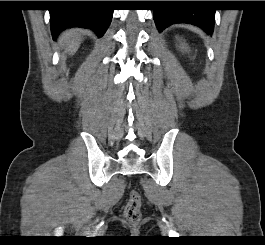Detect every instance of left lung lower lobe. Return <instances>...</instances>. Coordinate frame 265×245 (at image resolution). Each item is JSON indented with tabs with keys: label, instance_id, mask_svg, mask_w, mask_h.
<instances>
[{
	"label": "left lung lower lobe",
	"instance_id": "left-lung-lower-lobe-1",
	"mask_svg": "<svg viewBox=\"0 0 265 245\" xmlns=\"http://www.w3.org/2000/svg\"><path fill=\"white\" fill-rule=\"evenodd\" d=\"M199 1H171L170 8H158L153 16L159 32L175 23H188L203 29L207 34H212L214 29L215 10L193 8Z\"/></svg>",
	"mask_w": 265,
	"mask_h": 245
}]
</instances>
